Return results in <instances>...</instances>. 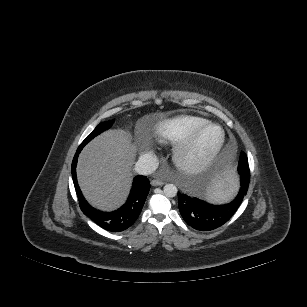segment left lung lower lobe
<instances>
[{
    "mask_svg": "<svg viewBox=\"0 0 307 307\" xmlns=\"http://www.w3.org/2000/svg\"><path fill=\"white\" fill-rule=\"evenodd\" d=\"M240 175L241 187L236 198L224 205H212L188 193L178 192V207L185 222L192 228L200 231H209L225 224L237 211L244 196L247 193L250 179L248 158L241 152L238 172Z\"/></svg>",
    "mask_w": 307,
    "mask_h": 307,
    "instance_id": "left-lung-lower-lobe-1",
    "label": "left lung lower lobe"
}]
</instances>
